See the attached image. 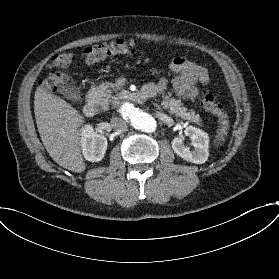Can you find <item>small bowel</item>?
Returning <instances> with one entry per match:
<instances>
[{"mask_svg": "<svg viewBox=\"0 0 279 279\" xmlns=\"http://www.w3.org/2000/svg\"><path fill=\"white\" fill-rule=\"evenodd\" d=\"M171 70L174 75L171 80L172 89L177 95L185 99L197 97L199 90L196 84H204L209 80L208 71L203 66L183 57H177L172 61ZM164 87L165 81L151 84L144 89L143 95H156L162 91Z\"/></svg>", "mask_w": 279, "mask_h": 279, "instance_id": "obj_1", "label": "small bowel"}]
</instances>
